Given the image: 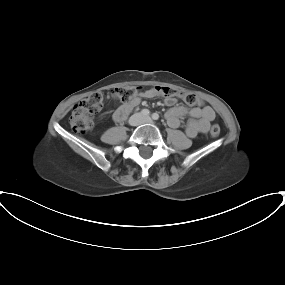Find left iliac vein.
<instances>
[{"label":"left iliac vein","instance_id":"4c4485c4","mask_svg":"<svg viewBox=\"0 0 285 285\" xmlns=\"http://www.w3.org/2000/svg\"><path fill=\"white\" fill-rule=\"evenodd\" d=\"M151 122H152V120L150 117H143L142 118V123H151Z\"/></svg>","mask_w":285,"mask_h":285}]
</instances>
